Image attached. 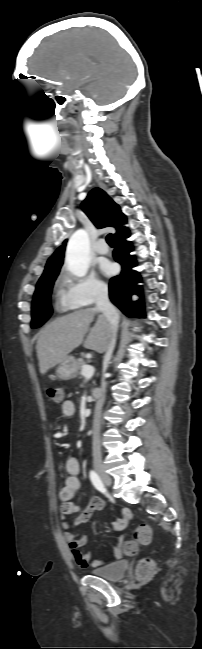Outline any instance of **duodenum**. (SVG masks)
<instances>
[{
  "mask_svg": "<svg viewBox=\"0 0 202 649\" xmlns=\"http://www.w3.org/2000/svg\"><path fill=\"white\" fill-rule=\"evenodd\" d=\"M93 397H94L95 400H99V399L101 398V394H99V393H94V394H93Z\"/></svg>",
  "mask_w": 202,
  "mask_h": 649,
  "instance_id": "duodenum-1",
  "label": "duodenum"
}]
</instances>
